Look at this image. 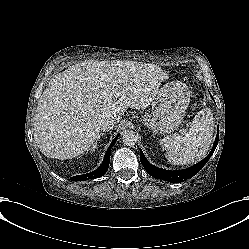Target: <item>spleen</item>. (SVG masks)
<instances>
[{
  "instance_id": "spleen-1",
  "label": "spleen",
  "mask_w": 249,
  "mask_h": 249,
  "mask_svg": "<svg viewBox=\"0 0 249 249\" xmlns=\"http://www.w3.org/2000/svg\"><path fill=\"white\" fill-rule=\"evenodd\" d=\"M213 131V121L207 109H203L194 117L184 135L167 136L160 139L159 143L170 163L190 164L205 155L212 142Z\"/></svg>"
}]
</instances>
